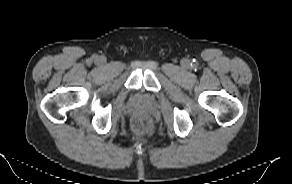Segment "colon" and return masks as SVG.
Wrapping results in <instances>:
<instances>
[{
    "label": "colon",
    "instance_id": "colon-1",
    "mask_svg": "<svg viewBox=\"0 0 292 184\" xmlns=\"http://www.w3.org/2000/svg\"><path fill=\"white\" fill-rule=\"evenodd\" d=\"M132 128L137 133H149L151 131L150 124L142 120H135L132 124Z\"/></svg>",
    "mask_w": 292,
    "mask_h": 184
}]
</instances>
